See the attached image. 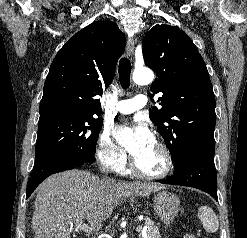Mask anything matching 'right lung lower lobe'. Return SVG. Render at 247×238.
<instances>
[{
  "label": "right lung lower lobe",
  "mask_w": 247,
  "mask_h": 238,
  "mask_svg": "<svg viewBox=\"0 0 247 238\" xmlns=\"http://www.w3.org/2000/svg\"><path fill=\"white\" fill-rule=\"evenodd\" d=\"M89 163L75 160L70 157H59L43 162L33 169L32 177L29 180L26 192V199L31 195L35 188L48 176L79 167L88 166Z\"/></svg>",
  "instance_id": "1"
}]
</instances>
